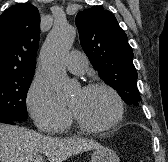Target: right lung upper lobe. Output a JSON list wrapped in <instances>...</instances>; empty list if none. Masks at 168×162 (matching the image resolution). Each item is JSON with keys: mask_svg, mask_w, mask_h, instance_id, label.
Instances as JSON below:
<instances>
[{"mask_svg": "<svg viewBox=\"0 0 168 162\" xmlns=\"http://www.w3.org/2000/svg\"><path fill=\"white\" fill-rule=\"evenodd\" d=\"M40 16L35 6L21 3L0 16V79L35 70Z\"/></svg>", "mask_w": 168, "mask_h": 162, "instance_id": "obj_1", "label": "right lung upper lobe"}]
</instances>
